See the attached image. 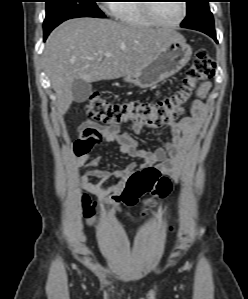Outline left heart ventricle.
<instances>
[{
  "mask_svg": "<svg viewBox=\"0 0 248 299\" xmlns=\"http://www.w3.org/2000/svg\"><path fill=\"white\" fill-rule=\"evenodd\" d=\"M154 11L163 22L174 23L182 14L181 1L174 0L156 3Z\"/></svg>",
  "mask_w": 248,
  "mask_h": 299,
  "instance_id": "left-heart-ventricle-1",
  "label": "left heart ventricle"
}]
</instances>
